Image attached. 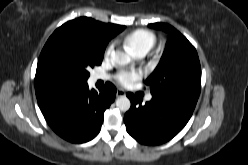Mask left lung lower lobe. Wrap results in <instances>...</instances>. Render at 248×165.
Wrapping results in <instances>:
<instances>
[{"label": "left lung lower lobe", "mask_w": 248, "mask_h": 165, "mask_svg": "<svg viewBox=\"0 0 248 165\" xmlns=\"http://www.w3.org/2000/svg\"><path fill=\"white\" fill-rule=\"evenodd\" d=\"M130 110L124 116L127 132L139 143L162 144L176 136L187 124L197 102L152 97L141 104L133 94L128 93Z\"/></svg>", "instance_id": "1"}]
</instances>
